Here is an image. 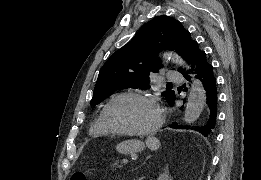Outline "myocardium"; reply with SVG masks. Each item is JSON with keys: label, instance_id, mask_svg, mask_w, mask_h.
Wrapping results in <instances>:
<instances>
[{"label": "myocardium", "instance_id": "f54148a6", "mask_svg": "<svg viewBox=\"0 0 261 180\" xmlns=\"http://www.w3.org/2000/svg\"><path fill=\"white\" fill-rule=\"evenodd\" d=\"M127 96L141 97V98H144V99L150 101L154 105L155 113H154L153 123L147 132L141 133V134L120 133V132L116 131L110 125V123L107 119V116H106L108 108L113 103H115L118 99L127 97ZM162 117H163V113H162L160 100L154 94H152L148 91H144V90H125V91L119 92V93L115 94L114 96H112L106 102V104L103 106V108L101 110V118H102L105 128L107 129V131L110 134H112L113 136H115L116 138H119V139L147 140V139L154 137L158 133V130L161 126Z\"/></svg>", "mask_w": 261, "mask_h": 180}]
</instances>
